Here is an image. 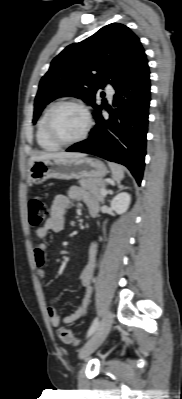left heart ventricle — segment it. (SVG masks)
I'll list each match as a JSON object with an SVG mask.
<instances>
[{"mask_svg": "<svg viewBox=\"0 0 182 399\" xmlns=\"http://www.w3.org/2000/svg\"><path fill=\"white\" fill-rule=\"evenodd\" d=\"M86 118L81 109L75 106L61 107L54 115L53 128L62 140H72L82 134Z\"/></svg>", "mask_w": 182, "mask_h": 399, "instance_id": "1", "label": "left heart ventricle"}]
</instances>
